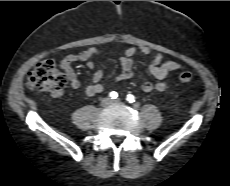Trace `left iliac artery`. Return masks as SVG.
Returning a JSON list of instances; mask_svg holds the SVG:
<instances>
[{
    "label": "left iliac artery",
    "mask_w": 230,
    "mask_h": 186,
    "mask_svg": "<svg viewBox=\"0 0 230 186\" xmlns=\"http://www.w3.org/2000/svg\"><path fill=\"white\" fill-rule=\"evenodd\" d=\"M126 100L129 103H133V102H135V97L132 94H128L127 97H126Z\"/></svg>",
    "instance_id": "1"
}]
</instances>
